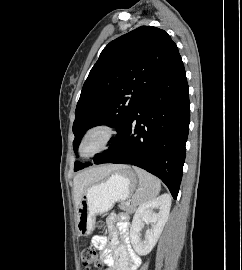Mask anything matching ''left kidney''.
Masks as SVG:
<instances>
[{
  "label": "left kidney",
  "instance_id": "left-kidney-1",
  "mask_svg": "<svg viewBox=\"0 0 242 270\" xmlns=\"http://www.w3.org/2000/svg\"><path fill=\"white\" fill-rule=\"evenodd\" d=\"M171 207V197L163 194L151 201L142 203L135 212L130 228L131 244L138 255L144 256L151 252L157 243L165 223L168 220ZM158 209V212H153ZM144 223L150 224L151 229L145 233V239L141 240L140 232Z\"/></svg>",
  "mask_w": 242,
  "mask_h": 270
}]
</instances>
